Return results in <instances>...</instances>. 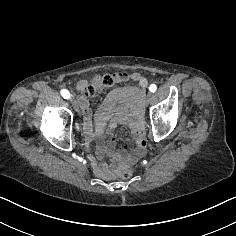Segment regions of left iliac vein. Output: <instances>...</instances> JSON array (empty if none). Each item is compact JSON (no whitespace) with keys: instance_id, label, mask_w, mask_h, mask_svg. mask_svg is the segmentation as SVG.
<instances>
[{"instance_id":"left-iliac-vein-1","label":"left iliac vein","mask_w":236,"mask_h":236,"mask_svg":"<svg viewBox=\"0 0 236 236\" xmlns=\"http://www.w3.org/2000/svg\"><path fill=\"white\" fill-rule=\"evenodd\" d=\"M158 100V97L156 95V93H151L150 97H149V101L152 103H155Z\"/></svg>"}]
</instances>
